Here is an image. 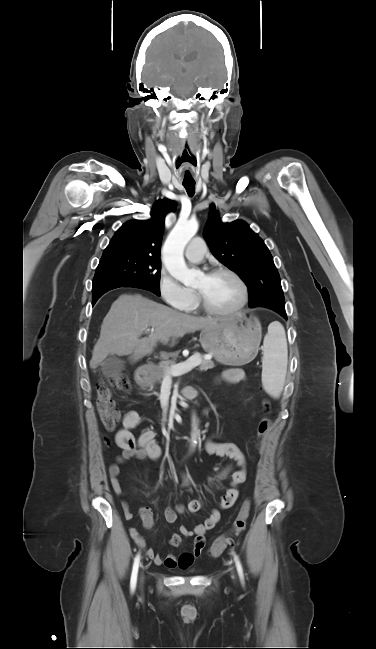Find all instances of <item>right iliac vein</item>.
Here are the masks:
<instances>
[{
    "label": "right iliac vein",
    "instance_id": "right-iliac-vein-1",
    "mask_svg": "<svg viewBox=\"0 0 376 649\" xmlns=\"http://www.w3.org/2000/svg\"><path fill=\"white\" fill-rule=\"evenodd\" d=\"M141 582H143V575H141Z\"/></svg>",
    "mask_w": 376,
    "mask_h": 649
}]
</instances>
